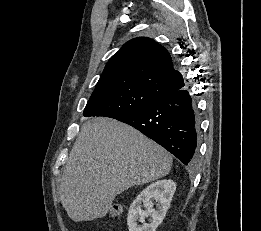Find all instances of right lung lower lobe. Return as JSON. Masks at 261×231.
Here are the masks:
<instances>
[{
    "instance_id": "right-lung-lower-lobe-1",
    "label": "right lung lower lobe",
    "mask_w": 261,
    "mask_h": 231,
    "mask_svg": "<svg viewBox=\"0 0 261 231\" xmlns=\"http://www.w3.org/2000/svg\"><path fill=\"white\" fill-rule=\"evenodd\" d=\"M163 146L183 164L196 160L199 117L194 96L183 88L117 119Z\"/></svg>"
}]
</instances>
